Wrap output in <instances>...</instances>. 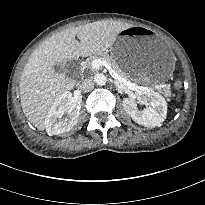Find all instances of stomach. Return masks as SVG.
<instances>
[{
  "mask_svg": "<svg viewBox=\"0 0 205 205\" xmlns=\"http://www.w3.org/2000/svg\"><path fill=\"white\" fill-rule=\"evenodd\" d=\"M108 50L119 68L137 83L164 82L174 69L171 48L147 27L134 25L125 28Z\"/></svg>",
  "mask_w": 205,
  "mask_h": 205,
  "instance_id": "obj_1",
  "label": "stomach"
}]
</instances>
